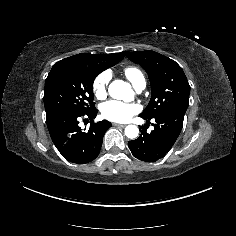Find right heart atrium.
Wrapping results in <instances>:
<instances>
[{
	"label": "right heart atrium",
	"instance_id": "d8ad5b80",
	"mask_svg": "<svg viewBox=\"0 0 236 236\" xmlns=\"http://www.w3.org/2000/svg\"><path fill=\"white\" fill-rule=\"evenodd\" d=\"M109 80L110 77L108 73H102L95 78L93 82V94L97 100H103L106 98Z\"/></svg>",
	"mask_w": 236,
	"mask_h": 236
}]
</instances>
